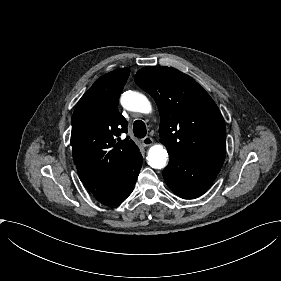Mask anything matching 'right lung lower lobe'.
Wrapping results in <instances>:
<instances>
[{"instance_id": "1", "label": "right lung lower lobe", "mask_w": 281, "mask_h": 281, "mask_svg": "<svg viewBox=\"0 0 281 281\" xmlns=\"http://www.w3.org/2000/svg\"><path fill=\"white\" fill-rule=\"evenodd\" d=\"M141 166L142 156L138 150L113 179L91 193L104 205L113 206L121 203L131 194Z\"/></svg>"}]
</instances>
